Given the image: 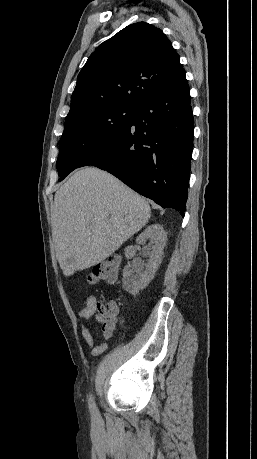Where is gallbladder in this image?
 I'll return each mask as SVG.
<instances>
[{"mask_svg":"<svg viewBox=\"0 0 257 459\" xmlns=\"http://www.w3.org/2000/svg\"><path fill=\"white\" fill-rule=\"evenodd\" d=\"M72 261H73V259H72V258L68 259V262H70V263H71Z\"/></svg>","mask_w":257,"mask_h":459,"instance_id":"gallbladder-1","label":"gallbladder"}]
</instances>
